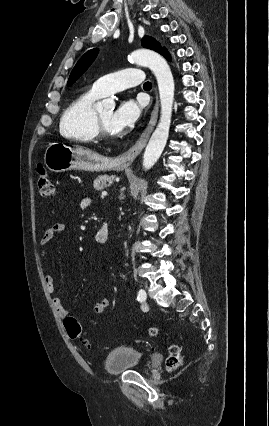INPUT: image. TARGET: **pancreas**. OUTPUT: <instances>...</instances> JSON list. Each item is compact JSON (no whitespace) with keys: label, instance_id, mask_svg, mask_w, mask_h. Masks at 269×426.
Wrapping results in <instances>:
<instances>
[{"label":"pancreas","instance_id":"cf45deb5","mask_svg":"<svg viewBox=\"0 0 269 426\" xmlns=\"http://www.w3.org/2000/svg\"><path fill=\"white\" fill-rule=\"evenodd\" d=\"M114 181L113 176L109 175H99L93 182V187L95 190L100 191L109 187Z\"/></svg>","mask_w":269,"mask_h":426}]
</instances>
